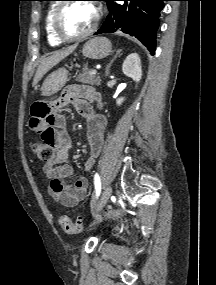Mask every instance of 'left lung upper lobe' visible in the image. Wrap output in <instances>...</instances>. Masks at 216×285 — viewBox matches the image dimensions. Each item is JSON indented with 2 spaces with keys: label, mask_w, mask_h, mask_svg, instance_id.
I'll return each mask as SVG.
<instances>
[{
  "label": "left lung upper lobe",
  "mask_w": 216,
  "mask_h": 285,
  "mask_svg": "<svg viewBox=\"0 0 216 285\" xmlns=\"http://www.w3.org/2000/svg\"><path fill=\"white\" fill-rule=\"evenodd\" d=\"M40 1H44V0H40ZM103 1H106V2H107L108 0H103Z\"/></svg>",
  "instance_id": "obj_1"
}]
</instances>
